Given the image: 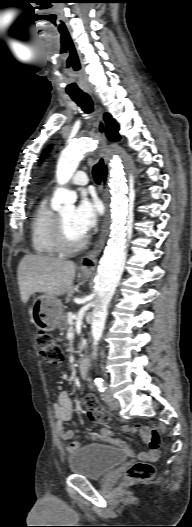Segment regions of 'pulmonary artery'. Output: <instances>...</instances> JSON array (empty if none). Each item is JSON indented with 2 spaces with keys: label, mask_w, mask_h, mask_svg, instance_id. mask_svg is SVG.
I'll return each instance as SVG.
<instances>
[{
  "label": "pulmonary artery",
  "mask_w": 192,
  "mask_h": 527,
  "mask_svg": "<svg viewBox=\"0 0 192 527\" xmlns=\"http://www.w3.org/2000/svg\"><path fill=\"white\" fill-rule=\"evenodd\" d=\"M88 181L89 179L87 174L84 171H78L72 176L70 184L76 186H84L88 183Z\"/></svg>",
  "instance_id": "e3ab8cb5"
}]
</instances>
